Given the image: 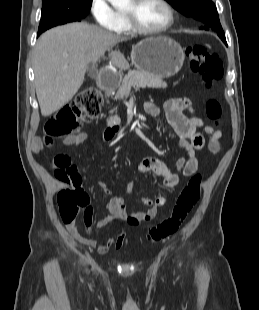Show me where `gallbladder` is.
<instances>
[{
    "mask_svg": "<svg viewBox=\"0 0 259 310\" xmlns=\"http://www.w3.org/2000/svg\"><path fill=\"white\" fill-rule=\"evenodd\" d=\"M90 78H91V79H94V78H95V75H94V74H90Z\"/></svg>",
    "mask_w": 259,
    "mask_h": 310,
    "instance_id": "gallbladder-1",
    "label": "gallbladder"
}]
</instances>
